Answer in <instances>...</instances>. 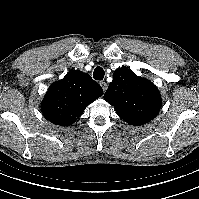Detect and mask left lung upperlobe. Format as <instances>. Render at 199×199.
<instances>
[{
	"label": "left lung upper lobe",
	"mask_w": 199,
	"mask_h": 199,
	"mask_svg": "<svg viewBox=\"0 0 199 199\" xmlns=\"http://www.w3.org/2000/svg\"><path fill=\"white\" fill-rule=\"evenodd\" d=\"M104 99L130 125H142L153 120L162 103L157 87L126 67L114 72L113 81L106 90Z\"/></svg>",
	"instance_id": "5c2ea615"
}]
</instances>
